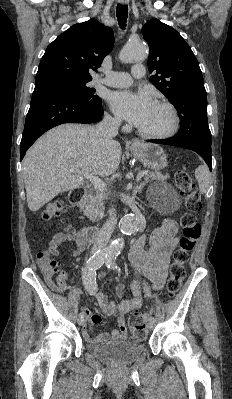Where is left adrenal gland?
Wrapping results in <instances>:
<instances>
[{"instance_id":"left-adrenal-gland-1","label":"left adrenal gland","mask_w":232,"mask_h":399,"mask_svg":"<svg viewBox=\"0 0 232 399\" xmlns=\"http://www.w3.org/2000/svg\"><path fill=\"white\" fill-rule=\"evenodd\" d=\"M142 188H144V184H140V186H139V188H138V190H139V194H141V192H142Z\"/></svg>"}]
</instances>
